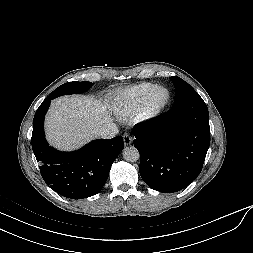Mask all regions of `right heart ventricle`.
Returning a JSON list of instances; mask_svg holds the SVG:
<instances>
[{
    "mask_svg": "<svg viewBox=\"0 0 253 253\" xmlns=\"http://www.w3.org/2000/svg\"><path fill=\"white\" fill-rule=\"evenodd\" d=\"M154 87L153 83L144 82L117 91L111 101L113 112L122 119L134 116Z\"/></svg>",
    "mask_w": 253,
    "mask_h": 253,
    "instance_id": "obj_1",
    "label": "right heart ventricle"
}]
</instances>
